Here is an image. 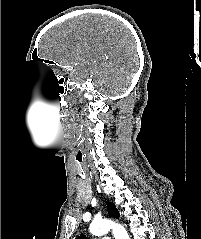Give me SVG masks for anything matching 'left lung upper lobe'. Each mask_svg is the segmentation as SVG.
Returning <instances> with one entry per match:
<instances>
[{"instance_id": "obj_1", "label": "left lung upper lobe", "mask_w": 201, "mask_h": 239, "mask_svg": "<svg viewBox=\"0 0 201 239\" xmlns=\"http://www.w3.org/2000/svg\"><path fill=\"white\" fill-rule=\"evenodd\" d=\"M107 210H108V214L110 216H113L115 218L120 216L119 211L117 210L116 206L109 201H107ZM85 238H86L85 235H81V236H78L76 239H85Z\"/></svg>"}]
</instances>
